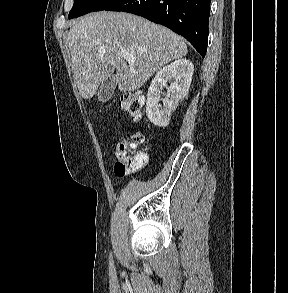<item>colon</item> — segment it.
I'll list each match as a JSON object with an SVG mask.
<instances>
[{
  "label": "colon",
  "instance_id": "colon-1",
  "mask_svg": "<svg viewBox=\"0 0 288 293\" xmlns=\"http://www.w3.org/2000/svg\"><path fill=\"white\" fill-rule=\"evenodd\" d=\"M144 105V96L141 92H128L121 97L120 107L132 119L138 120ZM143 141V136L137 133L132 141L125 139L117 143L115 150V173L125 176L140 170L146 163L145 155L137 149V145Z\"/></svg>",
  "mask_w": 288,
  "mask_h": 293
}]
</instances>
